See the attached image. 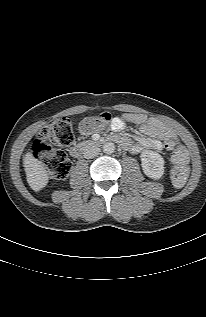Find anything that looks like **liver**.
Masks as SVG:
<instances>
[{"label":"liver","mask_w":206,"mask_h":317,"mask_svg":"<svg viewBox=\"0 0 206 317\" xmlns=\"http://www.w3.org/2000/svg\"><path fill=\"white\" fill-rule=\"evenodd\" d=\"M23 163L27 182L31 189L36 192L43 189L49 180L47 171L45 170L43 164L38 159L34 158L30 152L25 154Z\"/></svg>","instance_id":"6515ba94"}]
</instances>
